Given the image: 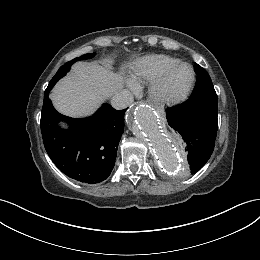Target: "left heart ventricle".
<instances>
[{
    "label": "left heart ventricle",
    "mask_w": 260,
    "mask_h": 260,
    "mask_svg": "<svg viewBox=\"0 0 260 260\" xmlns=\"http://www.w3.org/2000/svg\"><path fill=\"white\" fill-rule=\"evenodd\" d=\"M191 80V71L186 66H181L171 73L165 85L164 92L173 95L181 92Z\"/></svg>",
    "instance_id": "left-heart-ventricle-1"
}]
</instances>
